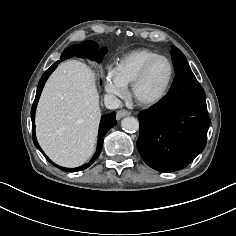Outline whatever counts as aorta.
Wrapping results in <instances>:
<instances>
[{
  "mask_svg": "<svg viewBox=\"0 0 236 236\" xmlns=\"http://www.w3.org/2000/svg\"><path fill=\"white\" fill-rule=\"evenodd\" d=\"M122 129L126 132H136L139 130V122L134 117H126L121 121Z\"/></svg>",
  "mask_w": 236,
  "mask_h": 236,
  "instance_id": "762f6f07",
  "label": "aorta"
}]
</instances>
